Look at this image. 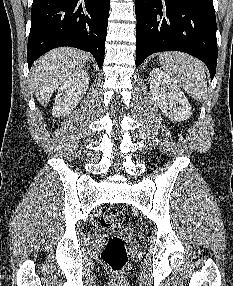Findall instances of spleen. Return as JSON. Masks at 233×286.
I'll return each instance as SVG.
<instances>
[{
	"instance_id": "1",
	"label": "spleen",
	"mask_w": 233,
	"mask_h": 286,
	"mask_svg": "<svg viewBox=\"0 0 233 286\" xmlns=\"http://www.w3.org/2000/svg\"><path fill=\"white\" fill-rule=\"evenodd\" d=\"M161 67L168 72L187 93L201 102L207 96L205 65L193 56L178 52H163L159 55Z\"/></svg>"
}]
</instances>
